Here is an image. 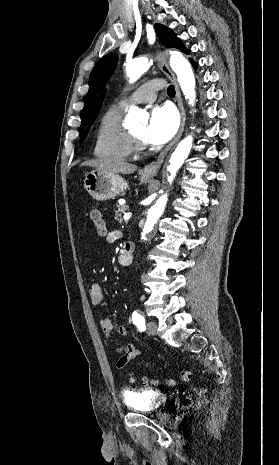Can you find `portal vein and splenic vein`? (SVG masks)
<instances>
[{
    "label": "portal vein and splenic vein",
    "mask_w": 279,
    "mask_h": 465,
    "mask_svg": "<svg viewBox=\"0 0 279 465\" xmlns=\"http://www.w3.org/2000/svg\"><path fill=\"white\" fill-rule=\"evenodd\" d=\"M131 217H132V213H130V212L125 213L124 216H123L125 221H128Z\"/></svg>",
    "instance_id": "1"
}]
</instances>
